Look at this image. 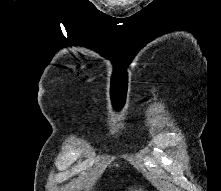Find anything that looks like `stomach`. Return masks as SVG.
<instances>
[{
    "mask_svg": "<svg viewBox=\"0 0 221 191\" xmlns=\"http://www.w3.org/2000/svg\"><path fill=\"white\" fill-rule=\"evenodd\" d=\"M144 188L142 186H134V187H130L129 191H144Z\"/></svg>",
    "mask_w": 221,
    "mask_h": 191,
    "instance_id": "1",
    "label": "stomach"
}]
</instances>
